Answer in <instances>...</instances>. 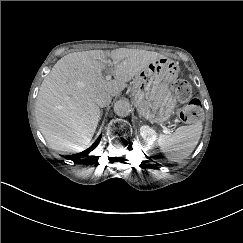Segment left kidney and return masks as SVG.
Segmentation results:
<instances>
[{"mask_svg": "<svg viewBox=\"0 0 243 243\" xmlns=\"http://www.w3.org/2000/svg\"><path fill=\"white\" fill-rule=\"evenodd\" d=\"M140 135L147 143V145L150 146H153L157 139V133L155 132V130L147 125H143L140 127Z\"/></svg>", "mask_w": 243, "mask_h": 243, "instance_id": "1", "label": "left kidney"}]
</instances>
